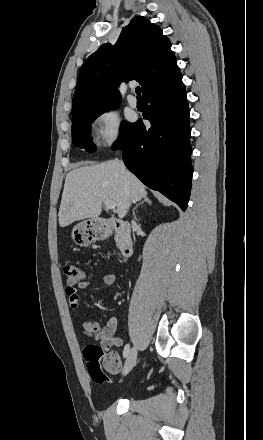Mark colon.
Masks as SVG:
<instances>
[{
	"mask_svg": "<svg viewBox=\"0 0 263 440\" xmlns=\"http://www.w3.org/2000/svg\"><path fill=\"white\" fill-rule=\"evenodd\" d=\"M63 271L70 287L85 281V270L78 264L68 263ZM83 355L89 376L96 383H105L108 381L107 373L117 374L120 371L121 359L117 352L104 353L100 346L89 344L84 348Z\"/></svg>",
	"mask_w": 263,
	"mask_h": 440,
	"instance_id": "obj_1",
	"label": "colon"
}]
</instances>
